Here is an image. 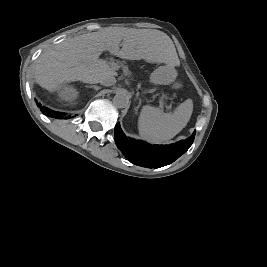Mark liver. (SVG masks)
Listing matches in <instances>:
<instances>
[{
  "label": "liver",
  "mask_w": 267,
  "mask_h": 267,
  "mask_svg": "<svg viewBox=\"0 0 267 267\" xmlns=\"http://www.w3.org/2000/svg\"><path fill=\"white\" fill-rule=\"evenodd\" d=\"M104 51L122 59H144L149 63H165L172 68L180 64L175 46L164 32L116 28L69 37L46 49L33 65L35 80L42 88L54 92L64 83L82 81L93 84L105 75L114 77L115 69L99 59Z\"/></svg>",
  "instance_id": "6515ba94"
}]
</instances>
